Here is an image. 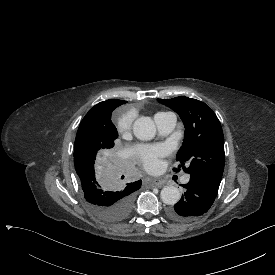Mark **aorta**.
<instances>
[{
  "instance_id": "aorta-1",
  "label": "aorta",
  "mask_w": 275,
  "mask_h": 275,
  "mask_svg": "<svg viewBox=\"0 0 275 275\" xmlns=\"http://www.w3.org/2000/svg\"><path fill=\"white\" fill-rule=\"evenodd\" d=\"M133 132L138 139L147 141L152 140L156 136L157 128L150 117H140L134 122ZM180 198L181 193L175 186H165L161 190V199L165 204L174 205Z\"/></svg>"
}]
</instances>
